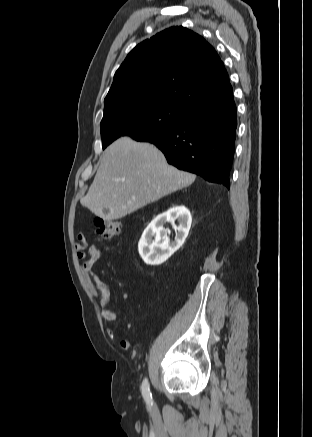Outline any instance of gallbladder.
Here are the masks:
<instances>
[{"label": "gallbladder", "instance_id": "1", "mask_svg": "<svg viewBox=\"0 0 312 437\" xmlns=\"http://www.w3.org/2000/svg\"><path fill=\"white\" fill-rule=\"evenodd\" d=\"M103 212H104L105 214H108V213H109V210H108V209H104Z\"/></svg>", "mask_w": 312, "mask_h": 437}]
</instances>
